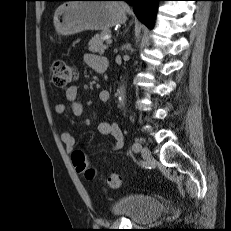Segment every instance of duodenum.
Here are the masks:
<instances>
[{"mask_svg": "<svg viewBox=\"0 0 231 231\" xmlns=\"http://www.w3.org/2000/svg\"><path fill=\"white\" fill-rule=\"evenodd\" d=\"M107 68H108V62H107V64H102V65H99L97 68H96V71L98 72V73H105V71L107 70Z\"/></svg>", "mask_w": 231, "mask_h": 231, "instance_id": "410a0bca", "label": "duodenum"}]
</instances>
